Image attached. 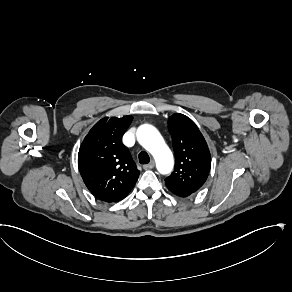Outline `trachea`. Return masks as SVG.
Masks as SVG:
<instances>
[{
  "label": "trachea",
  "instance_id": "obj_1",
  "mask_svg": "<svg viewBox=\"0 0 292 292\" xmlns=\"http://www.w3.org/2000/svg\"><path fill=\"white\" fill-rule=\"evenodd\" d=\"M140 164H148L150 162V157L147 152L141 151L138 155Z\"/></svg>",
  "mask_w": 292,
  "mask_h": 292
}]
</instances>
